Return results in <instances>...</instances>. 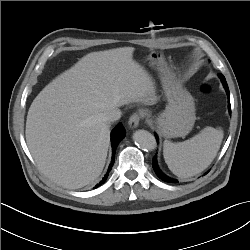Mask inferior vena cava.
<instances>
[{
  "instance_id": "602c4592",
  "label": "inferior vena cava",
  "mask_w": 250,
  "mask_h": 250,
  "mask_svg": "<svg viewBox=\"0 0 250 250\" xmlns=\"http://www.w3.org/2000/svg\"><path fill=\"white\" fill-rule=\"evenodd\" d=\"M121 118V111L118 108H113L104 113V120L106 122H114Z\"/></svg>"
}]
</instances>
